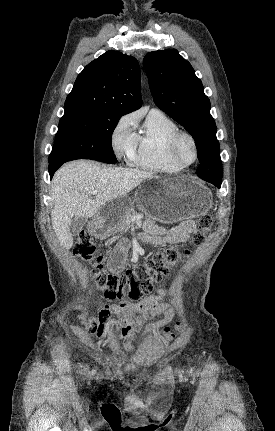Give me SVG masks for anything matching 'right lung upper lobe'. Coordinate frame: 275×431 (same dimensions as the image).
Segmentation results:
<instances>
[{"label":"right lung upper lobe","mask_w":275,"mask_h":431,"mask_svg":"<svg viewBox=\"0 0 275 431\" xmlns=\"http://www.w3.org/2000/svg\"><path fill=\"white\" fill-rule=\"evenodd\" d=\"M142 105L137 60L107 51L78 75L65 101L64 115L97 113L125 115Z\"/></svg>","instance_id":"1"}]
</instances>
